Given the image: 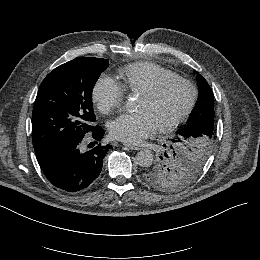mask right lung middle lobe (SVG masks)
<instances>
[{
	"label": "right lung middle lobe",
	"instance_id": "right-lung-middle-lobe-1",
	"mask_svg": "<svg viewBox=\"0 0 260 260\" xmlns=\"http://www.w3.org/2000/svg\"><path fill=\"white\" fill-rule=\"evenodd\" d=\"M109 62L78 57L50 72L41 83L32 113L35 150L81 141L94 130L92 90Z\"/></svg>",
	"mask_w": 260,
	"mask_h": 260
}]
</instances>
